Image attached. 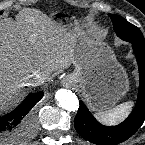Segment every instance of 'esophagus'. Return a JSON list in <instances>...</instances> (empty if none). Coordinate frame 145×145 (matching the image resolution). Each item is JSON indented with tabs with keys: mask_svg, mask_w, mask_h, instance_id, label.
Instances as JSON below:
<instances>
[{
	"mask_svg": "<svg viewBox=\"0 0 145 145\" xmlns=\"http://www.w3.org/2000/svg\"><path fill=\"white\" fill-rule=\"evenodd\" d=\"M73 79L69 76L65 77L64 80H63V84L66 86V87H69V86H72L73 85Z\"/></svg>",
	"mask_w": 145,
	"mask_h": 145,
	"instance_id": "1",
	"label": "esophagus"
}]
</instances>
